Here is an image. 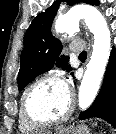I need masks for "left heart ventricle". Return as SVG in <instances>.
<instances>
[{"instance_id":"obj_1","label":"left heart ventricle","mask_w":116,"mask_h":134,"mask_svg":"<svg viewBox=\"0 0 116 134\" xmlns=\"http://www.w3.org/2000/svg\"><path fill=\"white\" fill-rule=\"evenodd\" d=\"M69 91L56 81H46L37 86L28 99L30 113L38 119L61 116L69 106Z\"/></svg>"}]
</instances>
